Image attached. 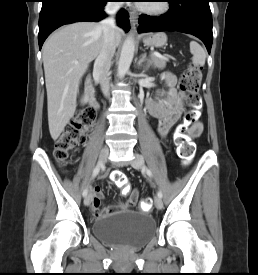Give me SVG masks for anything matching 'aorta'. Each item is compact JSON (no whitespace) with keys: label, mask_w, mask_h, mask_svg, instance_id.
I'll return each instance as SVG.
<instances>
[{"label":"aorta","mask_w":258,"mask_h":275,"mask_svg":"<svg viewBox=\"0 0 258 275\" xmlns=\"http://www.w3.org/2000/svg\"><path fill=\"white\" fill-rule=\"evenodd\" d=\"M134 50H135L134 39L131 36H129L125 40L122 46V50H121V54L118 62L119 78H123L125 74L128 72L131 62L133 60Z\"/></svg>","instance_id":"762f6f07"}]
</instances>
